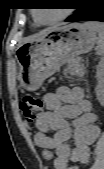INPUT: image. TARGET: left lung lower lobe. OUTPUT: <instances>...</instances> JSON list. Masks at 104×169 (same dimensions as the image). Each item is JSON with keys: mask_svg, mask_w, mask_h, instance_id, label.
<instances>
[{"mask_svg": "<svg viewBox=\"0 0 104 169\" xmlns=\"http://www.w3.org/2000/svg\"><path fill=\"white\" fill-rule=\"evenodd\" d=\"M78 10L66 22L101 21L104 22V4L99 0H80Z\"/></svg>", "mask_w": 104, "mask_h": 169, "instance_id": "obj_1", "label": "left lung lower lobe"}]
</instances>
